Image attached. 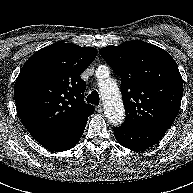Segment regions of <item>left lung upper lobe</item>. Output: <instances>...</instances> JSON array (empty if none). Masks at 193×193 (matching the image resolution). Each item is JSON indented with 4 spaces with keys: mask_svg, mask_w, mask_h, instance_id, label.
I'll use <instances>...</instances> for the list:
<instances>
[{
    "mask_svg": "<svg viewBox=\"0 0 193 193\" xmlns=\"http://www.w3.org/2000/svg\"><path fill=\"white\" fill-rule=\"evenodd\" d=\"M121 77L126 109L124 129H169L181 105L183 81L171 55L155 45L133 40L100 49Z\"/></svg>",
    "mask_w": 193,
    "mask_h": 193,
    "instance_id": "left-lung-upper-lobe-1",
    "label": "left lung upper lobe"
}]
</instances>
